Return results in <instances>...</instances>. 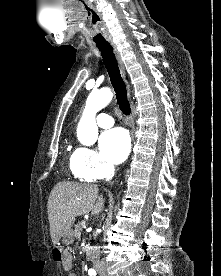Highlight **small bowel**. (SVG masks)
Returning <instances> with one entry per match:
<instances>
[{
	"mask_svg": "<svg viewBox=\"0 0 221 276\" xmlns=\"http://www.w3.org/2000/svg\"><path fill=\"white\" fill-rule=\"evenodd\" d=\"M62 266L67 272L68 276H77L76 273L73 271V258L69 252H66L64 254V257L62 259Z\"/></svg>",
	"mask_w": 221,
	"mask_h": 276,
	"instance_id": "small-bowel-1",
	"label": "small bowel"
}]
</instances>
